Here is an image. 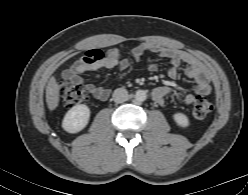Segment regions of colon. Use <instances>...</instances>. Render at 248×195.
Listing matches in <instances>:
<instances>
[{
    "label": "colon",
    "mask_w": 248,
    "mask_h": 195,
    "mask_svg": "<svg viewBox=\"0 0 248 195\" xmlns=\"http://www.w3.org/2000/svg\"><path fill=\"white\" fill-rule=\"evenodd\" d=\"M58 91L64 104L68 107L77 105L88 96V91L83 84L73 83L67 79L59 81ZM212 108L210 101L199 96L195 99L193 114L196 118L202 119L212 111Z\"/></svg>",
    "instance_id": "obj_1"
}]
</instances>
